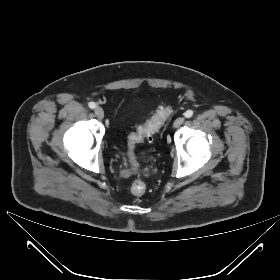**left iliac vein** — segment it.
I'll return each mask as SVG.
<instances>
[{"label":"left iliac vein","instance_id":"obj_1","mask_svg":"<svg viewBox=\"0 0 280 280\" xmlns=\"http://www.w3.org/2000/svg\"><path fill=\"white\" fill-rule=\"evenodd\" d=\"M184 121H185V118H184V117H179V118H177V119L174 121V123H173V127H174V128L180 127V126L184 123Z\"/></svg>","mask_w":280,"mask_h":280}]
</instances>
